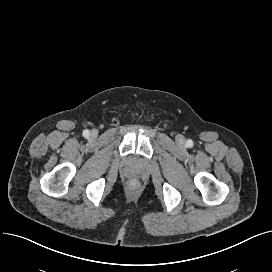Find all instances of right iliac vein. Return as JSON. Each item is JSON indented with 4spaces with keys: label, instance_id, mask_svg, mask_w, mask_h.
Returning a JSON list of instances; mask_svg holds the SVG:
<instances>
[{
    "label": "right iliac vein",
    "instance_id": "right-iliac-vein-1",
    "mask_svg": "<svg viewBox=\"0 0 272 272\" xmlns=\"http://www.w3.org/2000/svg\"><path fill=\"white\" fill-rule=\"evenodd\" d=\"M91 135L95 137L97 135V132L96 131H92Z\"/></svg>",
    "mask_w": 272,
    "mask_h": 272
}]
</instances>
